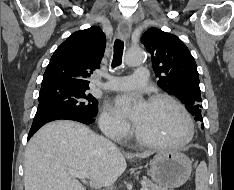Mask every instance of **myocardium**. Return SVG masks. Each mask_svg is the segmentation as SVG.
Masks as SVG:
<instances>
[{"mask_svg":"<svg viewBox=\"0 0 234 190\" xmlns=\"http://www.w3.org/2000/svg\"><path fill=\"white\" fill-rule=\"evenodd\" d=\"M158 101L168 102V103L172 104L173 106H175L181 112V114L183 115V117L186 121V125H187L186 135L181 140H177V141L152 140V139L145 137L139 131L138 127L135 125L134 126V133H135L136 139L140 143H142L146 146H150V147L178 148V147H183V146L187 145L193 139V136H194V123H193V120H192L189 112L187 111V109L185 108V106L181 102H179L177 99H175L171 95L164 94V93H159V94H155V95L151 96L148 103H155Z\"/></svg>","mask_w":234,"mask_h":190,"instance_id":"f54148a6","label":"myocardium"}]
</instances>
